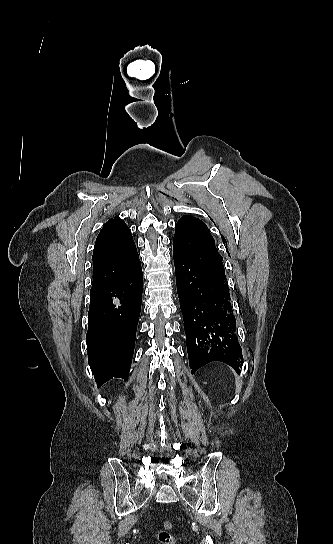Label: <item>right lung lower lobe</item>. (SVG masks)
<instances>
[{
  "instance_id": "obj_1",
  "label": "right lung lower lobe",
  "mask_w": 333,
  "mask_h": 544,
  "mask_svg": "<svg viewBox=\"0 0 333 544\" xmlns=\"http://www.w3.org/2000/svg\"><path fill=\"white\" fill-rule=\"evenodd\" d=\"M141 263L112 285L91 293L86 335L96 383L128 378L142 301Z\"/></svg>"
}]
</instances>
